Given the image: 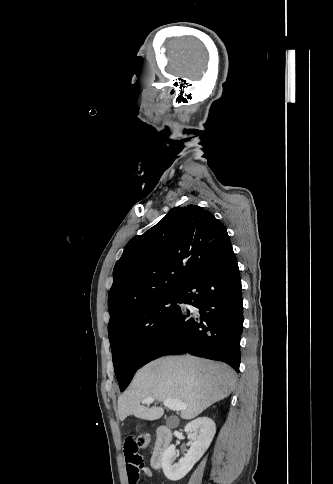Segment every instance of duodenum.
<instances>
[{"instance_id":"obj_1","label":"duodenum","mask_w":333,"mask_h":484,"mask_svg":"<svg viewBox=\"0 0 333 484\" xmlns=\"http://www.w3.org/2000/svg\"><path fill=\"white\" fill-rule=\"evenodd\" d=\"M173 439V433L167 426L157 428V439L151 457V465L154 469L162 467L164 453Z\"/></svg>"}]
</instances>
